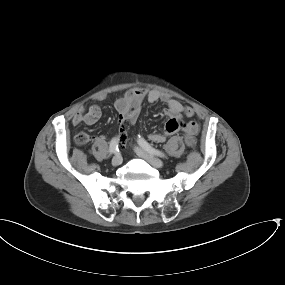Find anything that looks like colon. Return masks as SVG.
I'll use <instances>...</instances> for the list:
<instances>
[{
	"instance_id": "obj_1",
	"label": "colon",
	"mask_w": 285,
	"mask_h": 285,
	"mask_svg": "<svg viewBox=\"0 0 285 285\" xmlns=\"http://www.w3.org/2000/svg\"><path fill=\"white\" fill-rule=\"evenodd\" d=\"M184 114L186 117H191L194 115V109L191 106H186L184 109ZM90 141L89 136L86 133H80L76 137V143L80 146L86 145ZM194 140L191 139L190 142Z\"/></svg>"
}]
</instances>
